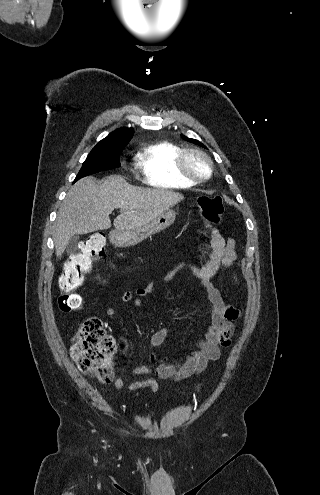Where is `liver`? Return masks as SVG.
Here are the masks:
<instances>
[{"label":"liver","mask_w":320,"mask_h":495,"mask_svg":"<svg viewBox=\"0 0 320 495\" xmlns=\"http://www.w3.org/2000/svg\"><path fill=\"white\" fill-rule=\"evenodd\" d=\"M183 199L173 191L132 186L117 175L100 184L83 178L70 188L58 211L53 234L56 256H62L72 236L111 228L109 215L114 209L120 210L115 230L124 231L149 223Z\"/></svg>","instance_id":"6515ba94"}]
</instances>
